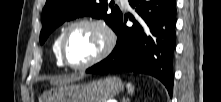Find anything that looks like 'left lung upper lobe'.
I'll use <instances>...</instances> for the list:
<instances>
[{
	"label": "left lung upper lobe",
	"instance_id": "1",
	"mask_svg": "<svg viewBox=\"0 0 221 102\" xmlns=\"http://www.w3.org/2000/svg\"><path fill=\"white\" fill-rule=\"evenodd\" d=\"M112 6L113 3L108 5L107 0H47L42 11L40 43L43 44L49 34L64 21L84 15L104 19L116 32L122 13L117 6Z\"/></svg>",
	"mask_w": 221,
	"mask_h": 102
}]
</instances>
